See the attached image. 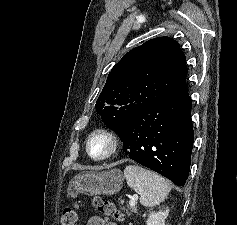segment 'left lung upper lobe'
Wrapping results in <instances>:
<instances>
[{"instance_id": "1", "label": "left lung upper lobe", "mask_w": 237, "mask_h": 225, "mask_svg": "<svg viewBox=\"0 0 237 225\" xmlns=\"http://www.w3.org/2000/svg\"><path fill=\"white\" fill-rule=\"evenodd\" d=\"M186 57L177 41L158 37L112 68L95 108L118 135L140 112L186 89Z\"/></svg>"}]
</instances>
